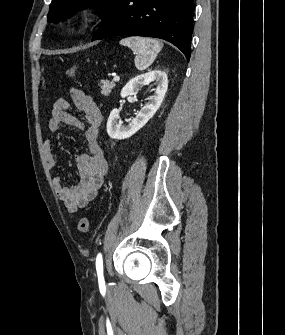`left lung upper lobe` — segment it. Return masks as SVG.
I'll use <instances>...</instances> for the list:
<instances>
[{"label": "left lung upper lobe", "instance_id": "obj_1", "mask_svg": "<svg viewBox=\"0 0 285 335\" xmlns=\"http://www.w3.org/2000/svg\"><path fill=\"white\" fill-rule=\"evenodd\" d=\"M117 1L118 0H52L48 13V21L56 23L66 16L88 6H93L98 10L101 19H103Z\"/></svg>", "mask_w": 285, "mask_h": 335}]
</instances>
